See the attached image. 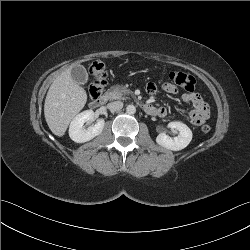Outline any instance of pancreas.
<instances>
[{
    "mask_svg": "<svg viewBox=\"0 0 250 250\" xmlns=\"http://www.w3.org/2000/svg\"><path fill=\"white\" fill-rule=\"evenodd\" d=\"M130 94H132L130 90L119 85L112 86L107 92V95L112 100H116V99L127 100L129 98L128 95Z\"/></svg>",
    "mask_w": 250,
    "mask_h": 250,
    "instance_id": "cf45deb5",
    "label": "pancreas"
}]
</instances>
